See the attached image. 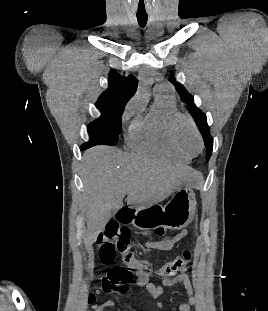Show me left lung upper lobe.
<instances>
[{
  "label": "left lung upper lobe",
  "instance_id": "left-lung-upper-lobe-1",
  "mask_svg": "<svg viewBox=\"0 0 268 311\" xmlns=\"http://www.w3.org/2000/svg\"><path fill=\"white\" fill-rule=\"evenodd\" d=\"M169 81L175 86V89L179 94L181 100L184 103L188 104V110L194 118L200 133L202 134L206 147V157L209 159L213 150V139L210 135V129L207 124L206 114L196 107V105L194 104L193 96H191V94L187 92L182 84L177 82L174 77H170Z\"/></svg>",
  "mask_w": 268,
  "mask_h": 311
}]
</instances>
